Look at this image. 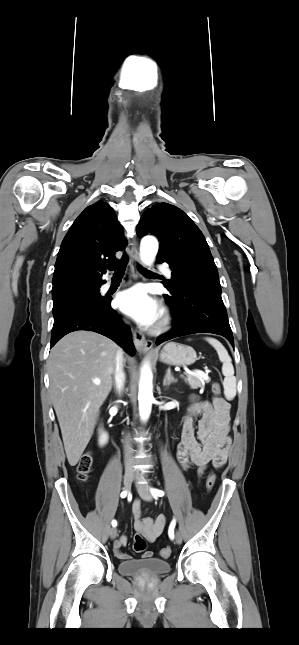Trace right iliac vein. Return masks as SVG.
Wrapping results in <instances>:
<instances>
[{
	"instance_id": "1",
	"label": "right iliac vein",
	"mask_w": 299,
	"mask_h": 645,
	"mask_svg": "<svg viewBox=\"0 0 299 645\" xmlns=\"http://www.w3.org/2000/svg\"><path fill=\"white\" fill-rule=\"evenodd\" d=\"M133 480H134V474L126 473L124 475L123 482H124V487H125L126 490H129L131 488V484H132ZM117 535H118L117 528L116 527L111 528V530H110V538L112 540H114L117 537Z\"/></svg>"
}]
</instances>
